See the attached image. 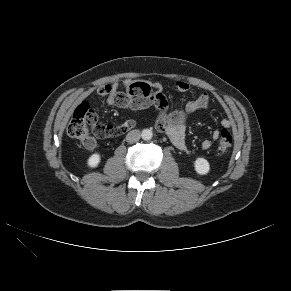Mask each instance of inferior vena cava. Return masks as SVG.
<instances>
[{"mask_svg": "<svg viewBox=\"0 0 291 291\" xmlns=\"http://www.w3.org/2000/svg\"><path fill=\"white\" fill-rule=\"evenodd\" d=\"M141 137V133L139 130H132L126 135V141L128 143H135L137 142Z\"/></svg>", "mask_w": 291, "mask_h": 291, "instance_id": "1", "label": "inferior vena cava"}]
</instances>
